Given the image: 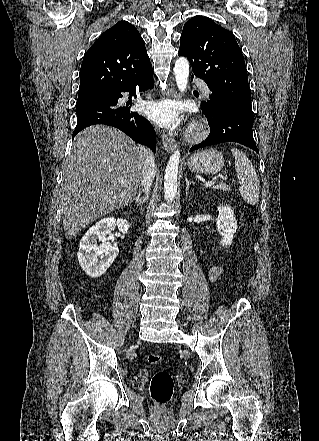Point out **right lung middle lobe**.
Masks as SVG:
<instances>
[{
  "label": "right lung middle lobe",
  "instance_id": "1",
  "mask_svg": "<svg viewBox=\"0 0 319 441\" xmlns=\"http://www.w3.org/2000/svg\"><path fill=\"white\" fill-rule=\"evenodd\" d=\"M81 105H84V104H82V103H77V104H76V108L79 107V106H81Z\"/></svg>",
  "mask_w": 319,
  "mask_h": 441
}]
</instances>
